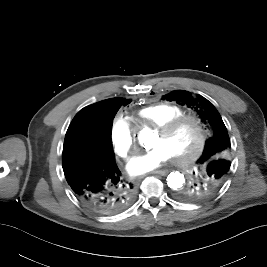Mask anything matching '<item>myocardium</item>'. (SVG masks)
Here are the masks:
<instances>
[{
    "instance_id": "f54148a6",
    "label": "myocardium",
    "mask_w": 267,
    "mask_h": 267,
    "mask_svg": "<svg viewBox=\"0 0 267 267\" xmlns=\"http://www.w3.org/2000/svg\"><path fill=\"white\" fill-rule=\"evenodd\" d=\"M189 121L192 122L198 131V138L194 148L186 155H173L176 161L179 164H188L195 160L204 150L207 133L206 129L199 117L192 114H183L173 119L168 120L167 122L163 123L159 127H157V131L162 136H167L173 131H175L182 123Z\"/></svg>"
}]
</instances>
